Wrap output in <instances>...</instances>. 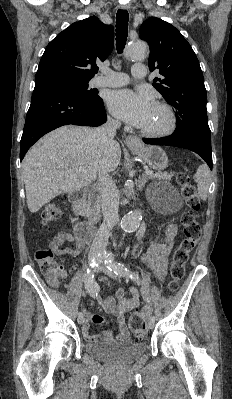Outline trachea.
<instances>
[{
	"label": "trachea",
	"mask_w": 232,
	"mask_h": 399,
	"mask_svg": "<svg viewBox=\"0 0 232 399\" xmlns=\"http://www.w3.org/2000/svg\"><path fill=\"white\" fill-rule=\"evenodd\" d=\"M128 20L127 10L119 9L116 14V47L118 53H122L128 36Z\"/></svg>",
	"instance_id": "trachea-1"
}]
</instances>
